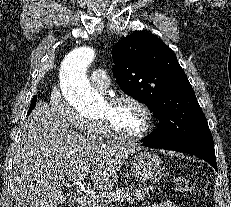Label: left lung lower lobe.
<instances>
[{
  "instance_id": "0a47b994",
  "label": "left lung lower lobe",
  "mask_w": 231,
  "mask_h": 207,
  "mask_svg": "<svg viewBox=\"0 0 231 207\" xmlns=\"http://www.w3.org/2000/svg\"><path fill=\"white\" fill-rule=\"evenodd\" d=\"M142 141L143 145L147 147L165 148L169 150H175L183 153L196 155L210 163L213 166V168L217 171L214 143L211 140H196L172 146H159L153 142H150V140L145 139H143Z\"/></svg>"
}]
</instances>
